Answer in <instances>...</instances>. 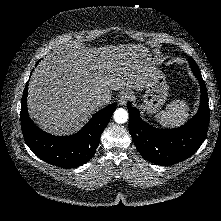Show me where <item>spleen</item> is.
<instances>
[{
	"label": "spleen",
	"mask_w": 221,
	"mask_h": 221,
	"mask_svg": "<svg viewBox=\"0 0 221 221\" xmlns=\"http://www.w3.org/2000/svg\"><path fill=\"white\" fill-rule=\"evenodd\" d=\"M189 116V108L182 100H177L168 105L166 111H161L155 116L156 121L165 128H175L184 124Z\"/></svg>",
	"instance_id": "1"
}]
</instances>
